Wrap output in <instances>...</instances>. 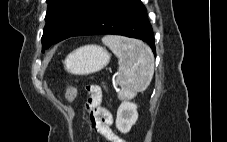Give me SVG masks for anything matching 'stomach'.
<instances>
[{
	"instance_id": "obj_1",
	"label": "stomach",
	"mask_w": 227,
	"mask_h": 142,
	"mask_svg": "<svg viewBox=\"0 0 227 142\" xmlns=\"http://www.w3.org/2000/svg\"><path fill=\"white\" fill-rule=\"evenodd\" d=\"M110 54L97 45H86L72 51L64 60V69L74 75H88L103 69Z\"/></svg>"
}]
</instances>
